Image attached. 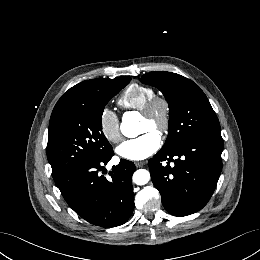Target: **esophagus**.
<instances>
[{"label": "esophagus", "instance_id": "1", "mask_svg": "<svg viewBox=\"0 0 260 260\" xmlns=\"http://www.w3.org/2000/svg\"><path fill=\"white\" fill-rule=\"evenodd\" d=\"M145 165V162L144 161H136L135 162V166L137 168H140V167H143Z\"/></svg>", "mask_w": 260, "mask_h": 260}]
</instances>
